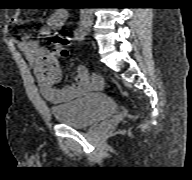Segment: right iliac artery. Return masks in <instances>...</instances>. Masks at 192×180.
<instances>
[{
    "label": "right iliac artery",
    "mask_w": 192,
    "mask_h": 180,
    "mask_svg": "<svg viewBox=\"0 0 192 180\" xmlns=\"http://www.w3.org/2000/svg\"><path fill=\"white\" fill-rule=\"evenodd\" d=\"M74 37H75L76 40L82 41V40L85 39V34H84V32L82 31L81 28H77L74 31Z\"/></svg>",
    "instance_id": "82829eb1"
}]
</instances>
